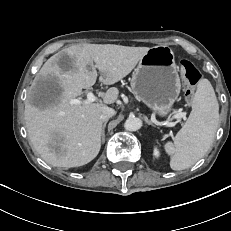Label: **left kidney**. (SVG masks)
Masks as SVG:
<instances>
[{
    "mask_svg": "<svg viewBox=\"0 0 231 231\" xmlns=\"http://www.w3.org/2000/svg\"><path fill=\"white\" fill-rule=\"evenodd\" d=\"M153 155H154L155 157H159L160 153H159V150H158L157 148L154 149Z\"/></svg>",
    "mask_w": 231,
    "mask_h": 231,
    "instance_id": "obj_1",
    "label": "left kidney"
}]
</instances>
